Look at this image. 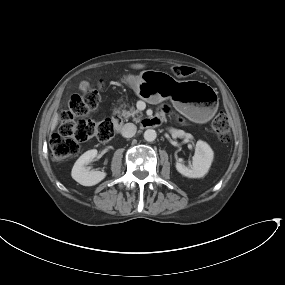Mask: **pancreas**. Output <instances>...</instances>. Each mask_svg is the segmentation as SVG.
Instances as JSON below:
<instances>
[{"mask_svg": "<svg viewBox=\"0 0 285 285\" xmlns=\"http://www.w3.org/2000/svg\"><path fill=\"white\" fill-rule=\"evenodd\" d=\"M120 109H121V116L124 117L126 120L129 117H133V120L135 122L140 121V117L135 118V115H138V113H140V112L138 110H135L134 106H132L129 110H126V105H121Z\"/></svg>", "mask_w": 285, "mask_h": 285, "instance_id": "pancreas-1", "label": "pancreas"}]
</instances>
